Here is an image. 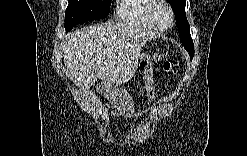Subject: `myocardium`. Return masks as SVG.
<instances>
[{
    "label": "myocardium",
    "instance_id": "1",
    "mask_svg": "<svg viewBox=\"0 0 247 156\" xmlns=\"http://www.w3.org/2000/svg\"><path fill=\"white\" fill-rule=\"evenodd\" d=\"M161 7H164L169 14L170 17V22L168 25H161L156 18V13L158 11V9H160ZM150 17L151 20L153 22V24L155 25V27L159 30H167L170 27H172V25L174 24V13L172 11V8L170 7V5L166 2V1H155L151 7L150 10Z\"/></svg>",
    "mask_w": 247,
    "mask_h": 156
}]
</instances>
